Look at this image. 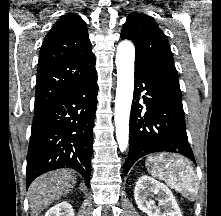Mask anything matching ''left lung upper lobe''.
<instances>
[{"mask_svg":"<svg viewBox=\"0 0 221 216\" xmlns=\"http://www.w3.org/2000/svg\"><path fill=\"white\" fill-rule=\"evenodd\" d=\"M121 39L133 41L136 46L135 62L161 75L176 101L182 105L178 74L169 42L154 19L141 13L130 14L124 23Z\"/></svg>","mask_w":221,"mask_h":216,"instance_id":"left-lung-upper-lobe-1","label":"left lung upper lobe"}]
</instances>
